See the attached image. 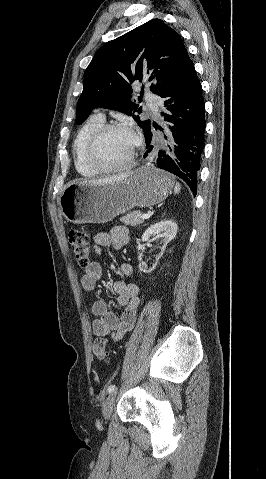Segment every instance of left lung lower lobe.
Listing matches in <instances>:
<instances>
[{
    "instance_id": "left-lung-lower-lobe-1",
    "label": "left lung lower lobe",
    "mask_w": 266,
    "mask_h": 479,
    "mask_svg": "<svg viewBox=\"0 0 266 479\" xmlns=\"http://www.w3.org/2000/svg\"><path fill=\"white\" fill-rule=\"evenodd\" d=\"M163 97H170L165 101L169 106L165 107L171 114L162 113L169 135H164V142H154L150 127L145 132L147 150L143 157L153 166L183 179L195 196L206 122L201 84L192 62Z\"/></svg>"
}]
</instances>
